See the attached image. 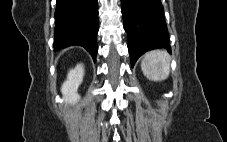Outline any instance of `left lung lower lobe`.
Here are the masks:
<instances>
[{"mask_svg":"<svg viewBox=\"0 0 227 142\" xmlns=\"http://www.w3.org/2000/svg\"><path fill=\"white\" fill-rule=\"evenodd\" d=\"M131 65L146 51L166 48L171 52L161 0H121Z\"/></svg>","mask_w":227,"mask_h":142,"instance_id":"obj_1","label":"left lung lower lobe"}]
</instances>
